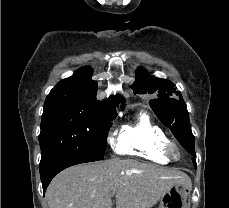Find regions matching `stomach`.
Instances as JSON below:
<instances>
[{
	"label": "stomach",
	"instance_id": "obj_1",
	"mask_svg": "<svg viewBox=\"0 0 229 208\" xmlns=\"http://www.w3.org/2000/svg\"><path fill=\"white\" fill-rule=\"evenodd\" d=\"M191 188L175 184L161 196L159 208H190Z\"/></svg>",
	"mask_w": 229,
	"mask_h": 208
}]
</instances>
